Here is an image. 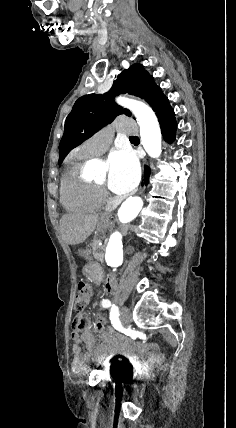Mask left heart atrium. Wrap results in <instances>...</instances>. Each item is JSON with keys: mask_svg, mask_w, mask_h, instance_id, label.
Returning a JSON list of instances; mask_svg holds the SVG:
<instances>
[{"mask_svg": "<svg viewBox=\"0 0 236 428\" xmlns=\"http://www.w3.org/2000/svg\"><path fill=\"white\" fill-rule=\"evenodd\" d=\"M108 185L116 194H128L138 184L140 168L137 158L127 149L112 152L108 159Z\"/></svg>", "mask_w": 236, "mask_h": 428, "instance_id": "obj_1", "label": "left heart atrium"}]
</instances>
